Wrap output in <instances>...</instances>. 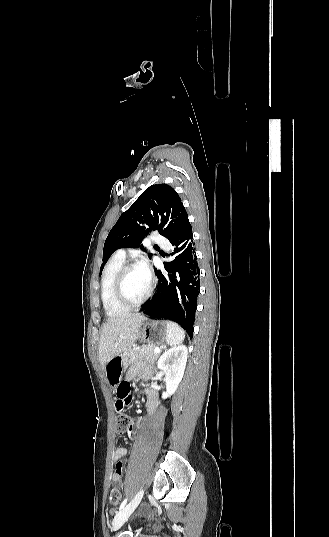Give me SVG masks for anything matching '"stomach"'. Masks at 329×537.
<instances>
[{
	"mask_svg": "<svg viewBox=\"0 0 329 537\" xmlns=\"http://www.w3.org/2000/svg\"><path fill=\"white\" fill-rule=\"evenodd\" d=\"M168 335V323L166 321H148L143 324L139 337L151 345H161ZM123 364L120 355L112 358L105 366L106 380L113 386L122 378Z\"/></svg>",
	"mask_w": 329,
	"mask_h": 537,
	"instance_id": "stomach-1",
	"label": "stomach"
}]
</instances>
